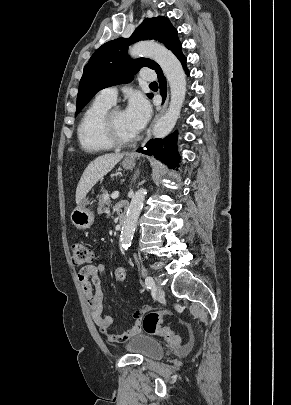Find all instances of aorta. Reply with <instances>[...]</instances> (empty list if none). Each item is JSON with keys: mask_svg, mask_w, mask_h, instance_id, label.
<instances>
[{"mask_svg": "<svg viewBox=\"0 0 291 405\" xmlns=\"http://www.w3.org/2000/svg\"><path fill=\"white\" fill-rule=\"evenodd\" d=\"M131 57L146 56L153 59L163 70L170 86V104L166 113L155 123L153 136L164 138L174 128L186 95V75L177 57L165 46L154 41H140L129 50ZM145 190L135 192L121 231V243L124 249L130 247L136 223L144 204Z\"/></svg>", "mask_w": 291, "mask_h": 405, "instance_id": "1", "label": "aorta"}]
</instances>
